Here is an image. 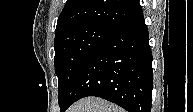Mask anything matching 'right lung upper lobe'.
I'll return each instance as SVG.
<instances>
[{
  "label": "right lung upper lobe",
  "instance_id": "1",
  "mask_svg": "<svg viewBox=\"0 0 193 112\" xmlns=\"http://www.w3.org/2000/svg\"><path fill=\"white\" fill-rule=\"evenodd\" d=\"M142 12L139 0H67L58 17L55 34L87 24L114 31Z\"/></svg>",
  "mask_w": 193,
  "mask_h": 112
}]
</instances>
